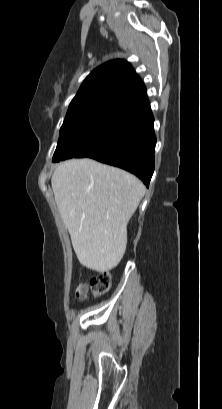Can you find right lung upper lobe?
<instances>
[{
  "mask_svg": "<svg viewBox=\"0 0 222 409\" xmlns=\"http://www.w3.org/2000/svg\"><path fill=\"white\" fill-rule=\"evenodd\" d=\"M146 102V88L140 78L127 61L117 59L104 63L86 77L69 109L97 105H121L128 109Z\"/></svg>",
  "mask_w": 222,
  "mask_h": 409,
  "instance_id": "1",
  "label": "right lung upper lobe"
}]
</instances>
